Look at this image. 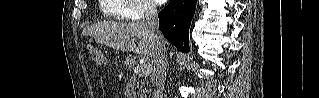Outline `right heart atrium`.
<instances>
[{"mask_svg":"<svg viewBox=\"0 0 319 98\" xmlns=\"http://www.w3.org/2000/svg\"><path fill=\"white\" fill-rule=\"evenodd\" d=\"M130 7L124 12L126 19H142L153 16L157 13V8L151 1L147 0H127Z\"/></svg>","mask_w":319,"mask_h":98,"instance_id":"obj_1","label":"right heart atrium"}]
</instances>
